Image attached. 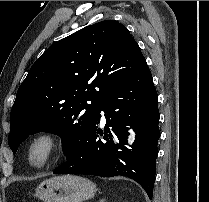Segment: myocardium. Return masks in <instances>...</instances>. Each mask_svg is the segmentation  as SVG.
<instances>
[{
  "label": "myocardium",
  "instance_id": "myocardium-1",
  "mask_svg": "<svg viewBox=\"0 0 209 202\" xmlns=\"http://www.w3.org/2000/svg\"><path fill=\"white\" fill-rule=\"evenodd\" d=\"M60 148L61 140L57 132L50 129L38 131L28 142V161L35 168H44L58 155ZM38 151L41 152L40 157L36 156Z\"/></svg>",
  "mask_w": 209,
  "mask_h": 202
}]
</instances>
